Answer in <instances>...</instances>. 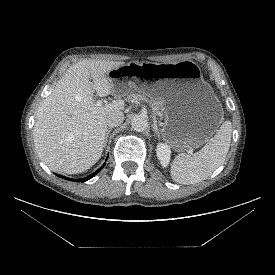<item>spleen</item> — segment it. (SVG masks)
<instances>
[{
    "instance_id": "spleen-1",
    "label": "spleen",
    "mask_w": 275,
    "mask_h": 275,
    "mask_svg": "<svg viewBox=\"0 0 275 275\" xmlns=\"http://www.w3.org/2000/svg\"><path fill=\"white\" fill-rule=\"evenodd\" d=\"M232 135L231 121H225L214 137L193 156L177 155L171 165L172 179L184 185L207 179L224 162L229 151Z\"/></svg>"
}]
</instances>
